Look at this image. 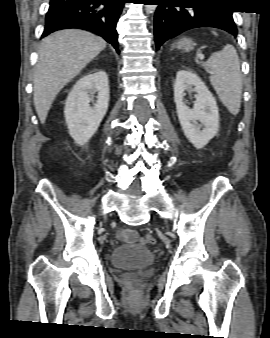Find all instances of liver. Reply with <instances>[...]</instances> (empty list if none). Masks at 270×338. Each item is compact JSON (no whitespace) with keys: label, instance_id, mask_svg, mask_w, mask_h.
Returning <instances> with one entry per match:
<instances>
[{"label":"liver","instance_id":"6515ba94","mask_svg":"<svg viewBox=\"0 0 270 338\" xmlns=\"http://www.w3.org/2000/svg\"><path fill=\"white\" fill-rule=\"evenodd\" d=\"M106 47V41L87 31H57L41 42L35 67L34 106L41 123L61 89Z\"/></svg>","mask_w":270,"mask_h":338}]
</instances>
